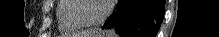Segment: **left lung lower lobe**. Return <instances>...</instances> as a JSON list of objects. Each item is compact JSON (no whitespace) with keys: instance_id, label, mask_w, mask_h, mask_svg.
<instances>
[{"instance_id":"1","label":"left lung lower lobe","mask_w":219,"mask_h":37,"mask_svg":"<svg viewBox=\"0 0 219 37\" xmlns=\"http://www.w3.org/2000/svg\"><path fill=\"white\" fill-rule=\"evenodd\" d=\"M164 11L165 0H119L103 29L114 28L120 37H155Z\"/></svg>"}]
</instances>
